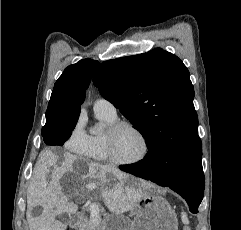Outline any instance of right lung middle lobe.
I'll list each match as a JSON object with an SVG mask.
<instances>
[{
    "mask_svg": "<svg viewBox=\"0 0 241 230\" xmlns=\"http://www.w3.org/2000/svg\"><path fill=\"white\" fill-rule=\"evenodd\" d=\"M77 120L68 121H46L42 128V136L47 145L62 146L66 140L71 136L75 128Z\"/></svg>",
    "mask_w": 241,
    "mask_h": 230,
    "instance_id": "right-lung-middle-lobe-1",
    "label": "right lung middle lobe"
}]
</instances>
